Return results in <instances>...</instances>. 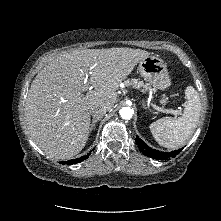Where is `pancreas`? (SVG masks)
Masks as SVG:
<instances>
[{
  "label": "pancreas",
  "mask_w": 221,
  "mask_h": 221,
  "mask_svg": "<svg viewBox=\"0 0 221 221\" xmlns=\"http://www.w3.org/2000/svg\"><path fill=\"white\" fill-rule=\"evenodd\" d=\"M126 83L130 86H133L134 88H140L144 86V83L141 81H138L137 79L127 80Z\"/></svg>",
  "instance_id": "pancreas-1"
}]
</instances>
